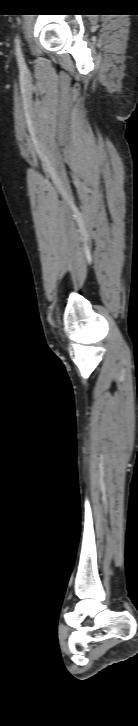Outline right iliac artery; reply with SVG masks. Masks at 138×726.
I'll use <instances>...</instances> for the list:
<instances>
[{
    "label": "right iliac artery",
    "mask_w": 138,
    "mask_h": 726,
    "mask_svg": "<svg viewBox=\"0 0 138 726\" xmlns=\"http://www.w3.org/2000/svg\"><path fill=\"white\" fill-rule=\"evenodd\" d=\"M16 56H17V60H18L19 64L20 65H23L24 58H23V55H22V51H21V47H20V40L19 39L16 41Z\"/></svg>",
    "instance_id": "1"
}]
</instances>
